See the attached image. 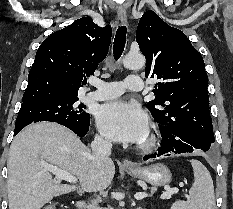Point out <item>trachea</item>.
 I'll return each instance as SVG.
<instances>
[{
  "instance_id": "obj_1",
  "label": "trachea",
  "mask_w": 233,
  "mask_h": 209,
  "mask_svg": "<svg viewBox=\"0 0 233 209\" xmlns=\"http://www.w3.org/2000/svg\"><path fill=\"white\" fill-rule=\"evenodd\" d=\"M126 26H120L117 29L115 38H114V47L113 54L115 59H119L124 51L125 42H126Z\"/></svg>"
}]
</instances>
